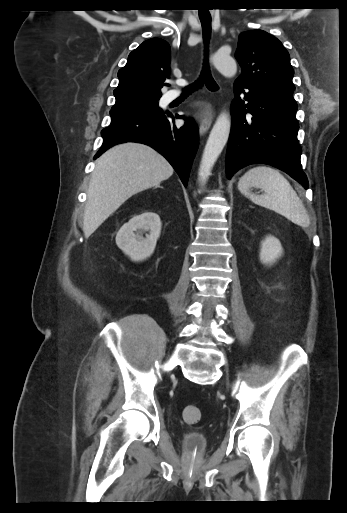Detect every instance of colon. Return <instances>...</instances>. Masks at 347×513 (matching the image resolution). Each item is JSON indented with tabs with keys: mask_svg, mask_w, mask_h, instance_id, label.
<instances>
[{
	"mask_svg": "<svg viewBox=\"0 0 347 513\" xmlns=\"http://www.w3.org/2000/svg\"><path fill=\"white\" fill-rule=\"evenodd\" d=\"M182 416L187 424H196L201 419V411L197 406L188 405L183 408Z\"/></svg>",
	"mask_w": 347,
	"mask_h": 513,
	"instance_id": "obj_1",
	"label": "colon"
}]
</instances>
